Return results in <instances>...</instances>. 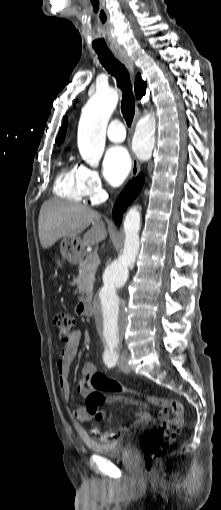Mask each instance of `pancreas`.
<instances>
[{"label": "pancreas", "instance_id": "cf45deb5", "mask_svg": "<svg viewBox=\"0 0 221 510\" xmlns=\"http://www.w3.org/2000/svg\"><path fill=\"white\" fill-rule=\"evenodd\" d=\"M91 253L86 256L79 264V275L74 280L77 284L82 297L87 296L90 293V288L95 280V273L98 266V261H94L90 257Z\"/></svg>", "mask_w": 221, "mask_h": 510}]
</instances>
